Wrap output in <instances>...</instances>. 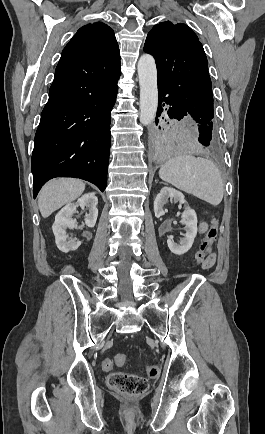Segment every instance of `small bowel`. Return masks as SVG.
<instances>
[{
    "label": "small bowel",
    "mask_w": 265,
    "mask_h": 434,
    "mask_svg": "<svg viewBox=\"0 0 265 434\" xmlns=\"http://www.w3.org/2000/svg\"><path fill=\"white\" fill-rule=\"evenodd\" d=\"M205 214V212H203ZM209 229V225L205 220H202L199 224V232L201 234H204L208 231ZM216 262V255L212 250V245L209 247L208 252H207V256L205 259V266L207 268H211ZM115 365H118L114 360L112 359H105L104 360V370H112L114 368Z\"/></svg>",
    "instance_id": "small-bowel-1"
}]
</instances>
